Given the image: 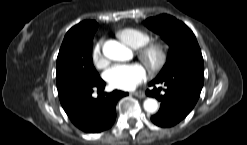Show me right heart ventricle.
<instances>
[{
  "label": "right heart ventricle",
  "mask_w": 247,
  "mask_h": 145,
  "mask_svg": "<svg viewBox=\"0 0 247 145\" xmlns=\"http://www.w3.org/2000/svg\"><path fill=\"white\" fill-rule=\"evenodd\" d=\"M118 37L127 45L133 48L144 46L150 39V36L137 28H124L118 31Z\"/></svg>",
  "instance_id": "1"
}]
</instances>
